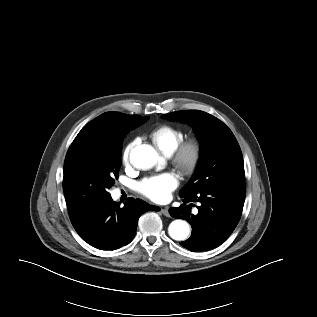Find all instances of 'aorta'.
Listing matches in <instances>:
<instances>
[{"mask_svg":"<svg viewBox=\"0 0 317 317\" xmlns=\"http://www.w3.org/2000/svg\"><path fill=\"white\" fill-rule=\"evenodd\" d=\"M130 162L137 169L149 170L158 163H161L162 158L152 146L142 144L131 150ZM168 233L172 239L183 241L189 236V224L184 220L176 219L170 223Z\"/></svg>","mask_w":317,"mask_h":317,"instance_id":"obj_1","label":"aorta"}]
</instances>
